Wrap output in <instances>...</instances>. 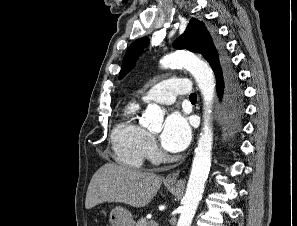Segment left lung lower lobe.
<instances>
[{"mask_svg":"<svg viewBox=\"0 0 297 226\" xmlns=\"http://www.w3.org/2000/svg\"><path fill=\"white\" fill-rule=\"evenodd\" d=\"M217 80V92L221 97L226 84V95L224 100L225 125L230 133L237 132L240 128V121L244 113L242 92L237 84V78L232 71L228 61L222 71L215 74Z\"/></svg>","mask_w":297,"mask_h":226,"instance_id":"left-lung-lower-lobe-1","label":"left lung lower lobe"}]
</instances>
